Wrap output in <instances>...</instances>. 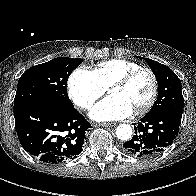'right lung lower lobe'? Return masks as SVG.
<instances>
[{
    "label": "right lung lower lobe",
    "instance_id": "right-lung-lower-lobe-1",
    "mask_svg": "<svg viewBox=\"0 0 196 196\" xmlns=\"http://www.w3.org/2000/svg\"><path fill=\"white\" fill-rule=\"evenodd\" d=\"M15 128L22 147L48 164L76 158L91 128L75 108L36 99L15 108Z\"/></svg>",
    "mask_w": 196,
    "mask_h": 196
}]
</instances>
